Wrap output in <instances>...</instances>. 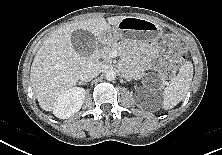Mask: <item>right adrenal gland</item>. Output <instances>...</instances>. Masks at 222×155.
<instances>
[{
  "mask_svg": "<svg viewBox=\"0 0 222 155\" xmlns=\"http://www.w3.org/2000/svg\"><path fill=\"white\" fill-rule=\"evenodd\" d=\"M80 84H86L85 82H80Z\"/></svg>",
  "mask_w": 222,
  "mask_h": 155,
  "instance_id": "1",
  "label": "right adrenal gland"
}]
</instances>
